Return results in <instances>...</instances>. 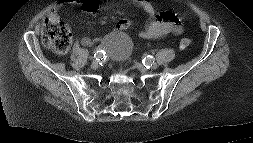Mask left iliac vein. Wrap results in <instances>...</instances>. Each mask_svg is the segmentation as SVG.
Here are the masks:
<instances>
[{
  "mask_svg": "<svg viewBox=\"0 0 253 143\" xmlns=\"http://www.w3.org/2000/svg\"><path fill=\"white\" fill-rule=\"evenodd\" d=\"M150 67L152 69H156L157 68V64L156 63H152V65ZM140 70L144 71V67H140Z\"/></svg>",
  "mask_w": 253,
  "mask_h": 143,
  "instance_id": "left-iliac-vein-1",
  "label": "left iliac vein"
}]
</instances>
